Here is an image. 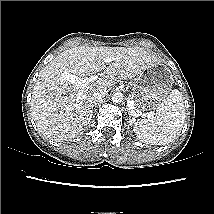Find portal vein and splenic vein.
<instances>
[{
  "label": "portal vein and splenic vein",
  "instance_id": "18ae733b",
  "mask_svg": "<svg viewBox=\"0 0 214 214\" xmlns=\"http://www.w3.org/2000/svg\"><path fill=\"white\" fill-rule=\"evenodd\" d=\"M111 60L112 59L109 57L105 58L106 63H109ZM62 76L64 79L68 80L72 84H75L79 88H85L89 83L94 82L98 78L97 75L90 76L89 78L88 77L87 78H79V77H76V76L69 74V73H63ZM133 104H134V102H133L132 98H129L127 101V105L129 107V109H132ZM133 114H134V116H138V115H140V111H138V110L133 111Z\"/></svg>",
  "mask_w": 214,
  "mask_h": 214
}]
</instances>
